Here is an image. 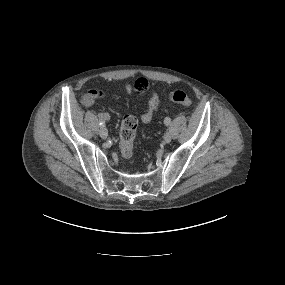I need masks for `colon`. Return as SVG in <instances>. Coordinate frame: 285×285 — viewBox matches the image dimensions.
Masks as SVG:
<instances>
[{"label": "colon", "instance_id": "colon-1", "mask_svg": "<svg viewBox=\"0 0 285 285\" xmlns=\"http://www.w3.org/2000/svg\"><path fill=\"white\" fill-rule=\"evenodd\" d=\"M147 85L148 82L146 79L139 78L135 82V89L143 90L147 87ZM170 99L173 102L183 106H190L192 103L190 96L182 90H175L172 92ZM137 125V118L133 115L125 116L121 122L119 131L120 151L122 156L127 160H131L134 154V142L137 133Z\"/></svg>", "mask_w": 285, "mask_h": 285}]
</instances>
